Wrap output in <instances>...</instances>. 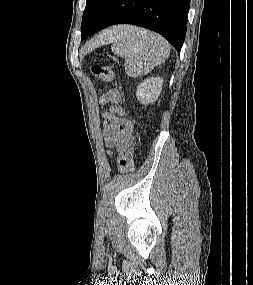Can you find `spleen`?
<instances>
[{
  "label": "spleen",
  "mask_w": 253,
  "mask_h": 285,
  "mask_svg": "<svg viewBox=\"0 0 253 285\" xmlns=\"http://www.w3.org/2000/svg\"><path fill=\"white\" fill-rule=\"evenodd\" d=\"M109 42L116 55L129 61L125 72L134 78L149 73L170 54V45L162 36L135 26H127Z\"/></svg>",
  "instance_id": "obj_1"
}]
</instances>
